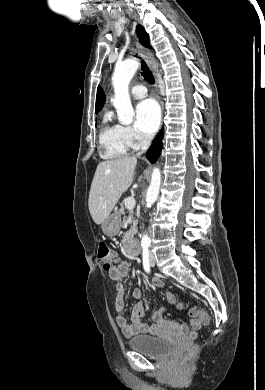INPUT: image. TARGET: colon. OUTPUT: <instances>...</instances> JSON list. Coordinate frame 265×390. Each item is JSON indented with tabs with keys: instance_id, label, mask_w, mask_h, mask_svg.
<instances>
[{
	"instance_id": "1",
	"label": "colon",
	"mask_w": 265,
	"mask_h": 390,
	"mask_svg": "<svg viewBox=\"0 0 265 390\" xmlns=\"http://www.w3.org/2000/svg\"><path fill=\"white\" fill-rule=\"evenodd\" d=\"M98 257H99V260H100L103 268L106 271H109L114 267L115 255L112 252V250L110 249V247L104 242H101L98 245ZM166 297H167V300L170 304L175 305L179 309H184L187 307L185 304L178 302L176 296L173 293H168ZM190 315L194 319L200 321L201 324H203V325L209 324V321H210L209 315L203 310L192 308V309H190ZM197 349H198V347L196 345L192 346L189 349V351L186 353L185 360L191 359L195 355V353L197 352Z\"/></svg>"
}]
</instances>
